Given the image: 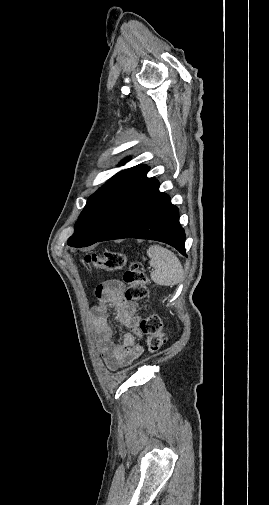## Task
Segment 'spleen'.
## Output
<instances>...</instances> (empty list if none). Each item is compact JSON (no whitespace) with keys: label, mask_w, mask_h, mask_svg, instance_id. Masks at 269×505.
<instances>
[{"label":"spleen","mask_w":269,"mask_h":505,"mask_svg":"<svg viewBox=\"0 0 269 505\" xmlns=\"http://www.w3.org/2000/svg\"><path fill=\"white\" fill-rule=\"evenodd\" d=\"M147 255L150 258V266L155 268L150 276L156 284L174 286L182 280L183 267L172 251L160 245H151L147 250Z\"/></svg>","instance_id":"3e777b00"}]
</instances>
